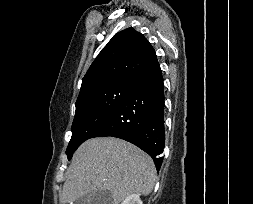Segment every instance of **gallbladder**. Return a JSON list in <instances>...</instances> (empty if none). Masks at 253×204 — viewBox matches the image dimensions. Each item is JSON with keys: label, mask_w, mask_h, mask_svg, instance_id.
<instances>
[{"label": "gallbladder", "mask_w": 253, "mask_h": 204, "mask_svg": "<svg viewBox=\"0 0 253 204\" xmlns=\"http://www.w3.org/2000/svg\"><path fill=\"white\" fill-rule=\"evenodd\" d=\"M75 204H113V198L108 190H97L79 198Z\"/></svg>", "instance_id": "1"}]
</instances>
